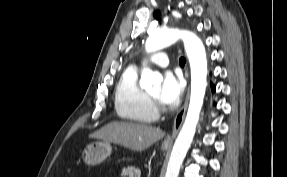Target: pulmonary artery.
<instances>
[{"instance_id": "1", "label": "pulmonary artery", "mask_w": 287, "mask_h": 177, "mask_svg": "<svg viewBox=\"0 0 287 177\" xmlns=\"http://www.w3.org/2000/svg\"><path fill=\"white\" fill-rule=\"evenodd\" d=\"M152 63L159 67H165L168 65V56L165 52L158 51L152 56Z\"/></svg>"}]
</instances>
